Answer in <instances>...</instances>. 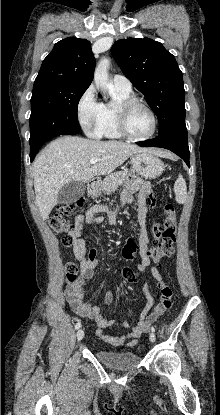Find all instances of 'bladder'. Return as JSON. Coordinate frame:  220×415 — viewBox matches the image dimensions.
Segmentation results:
<instances>
[{"label": "bladder", "instance_id": "obj_1", "mask_svg": "<svg viewBox=\"0 0 220 415\" xmlns=\"http://www.w3.org/2000/svg\"><path fill=\"white\" fill-rule=\"evenodd\" d=\"M96 358L102 363L120 369H131L140 363V357L133 352L97 350Z\"/></svg>", "mask_w": 220, "mask_h": 415}]
</instances>
